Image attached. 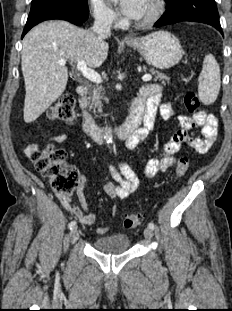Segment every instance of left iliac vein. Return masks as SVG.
<instances>
[{
	"instance_id": "1",
	"label": "left iliac vein",
	"mask_w": 232,
	"mask_h": 311,
	"mask_svg": "<svg viewBox=\"0 0 232 311\" xmlns=\"http://www.w3.org/2000/svg\"><path fill=\"white\" fill-rule=\"evenodd\" d=\"M144 236L147 240H151L153 237V231L149 227L144 230Z\"/></svg>"
}]
</instances>
